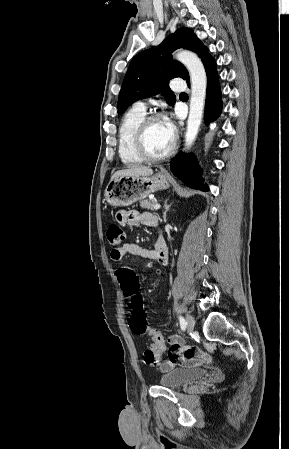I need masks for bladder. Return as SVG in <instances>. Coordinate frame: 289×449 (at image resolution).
<instances>
[{
    "mask_svg": "<svg viewBox=\"0 0 289 449\" xmlns=\"http://www.w3.org/2000/svg\"><path fill=\"white\" fill-rule=\"evenodd\" d=\"M205 375L206 370L202 368H174L160 377L159 384L176 389L200 380Z\"/></svg>",
    "mask_w": 289,
    "mask_h": 449,
    "instance_id": "bladder-1",
    "label": "bladder"
}]
</instances>
